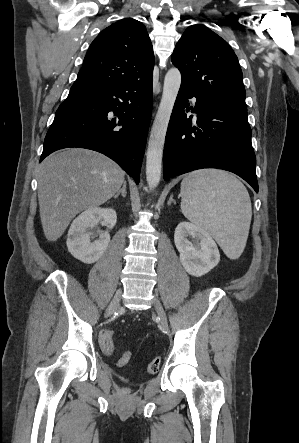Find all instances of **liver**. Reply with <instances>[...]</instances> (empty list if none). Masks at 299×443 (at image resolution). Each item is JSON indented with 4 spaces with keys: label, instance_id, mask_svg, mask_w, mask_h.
Returning <instances> with one entry per match:
<instances>
[{
    "label": "liver",
    "instance_id": "1",
    "mask_svg": "<svg viewBox=\"0 0 299 443\" xmlns=\"http://www.w3.org/2000/svg\"><path fill=\"white\" fill-rule=\"evenodd\" d=\"M125 172L108 157L70 148L48 156L38 168V201L44 235L59 239L81 211L107 202L121 188Z\"/></svg>",
    "mask_w": 299,
    "mask_h": 443
}]
</instances>
